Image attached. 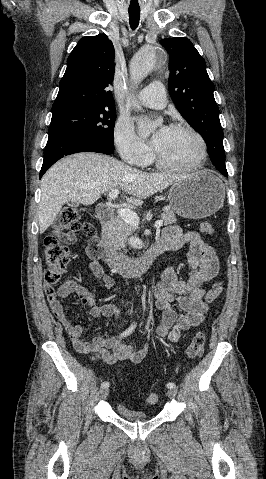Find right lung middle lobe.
Wrapping results in <instances>:
<instances>
[{"instance_id":"dd1d6c3e","label":"right lung middle lobe","mask_w":266,"mask_h":479,"mask_svg":"<svg viewBox=\"0 0 266 479\" xmlns=\"http://www.w3.org/2000/svg\"><path fill=\"white\" fill-rule=\"evenodd\" d=\"M69 109L52 114L49 133L62 132L114 145V108Z\"/></svg>"}]
</instances>
